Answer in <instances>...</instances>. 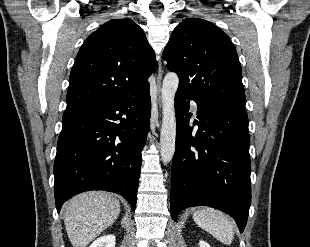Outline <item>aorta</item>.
<instances>
[{"mask_svg": "<svg viewBox=\"0 0 310 247\" xmlns=\"http://www.w3.org/2000/svg\"><path fill=\"white\" fill-rule=\"evenodd\" d=\"M178 84V76L173 72H169L163 80L161 89L163 119L160 135V153L164 164H167L172 160L175 152L176 118L174 110V98Z\"/></svg>", "mask_w": 310, "mask_h": 247, "instance_id": "aorta-1", "label": "aorta"}]
</instances>
